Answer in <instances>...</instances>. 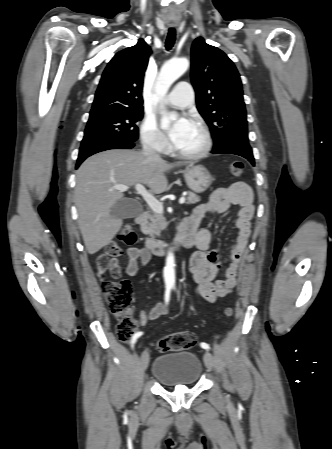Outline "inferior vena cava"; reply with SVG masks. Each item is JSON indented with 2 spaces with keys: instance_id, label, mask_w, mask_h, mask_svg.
<instances>
[{
  "instance_id": "obj_1",
  "label": "inferior vena cava",
  "mask_w": 332,
  "mask_h": 449,
  "mask_svg": "<svg viewBox=\"0 0 332 449\" xmlns=\"http://www.w3.org/2000/svg\"><path fill=\"white\" fill-rule=\"evenodd\" d=\"M141 154L153 161H160L161 157L160 155L154 150V148L149 143H144L143 148L141 150Z\"/></svg>"
}]
</instances>
